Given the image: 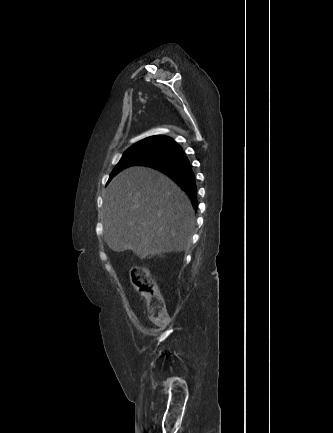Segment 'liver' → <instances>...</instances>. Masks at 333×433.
Here are the masks:
<instances>
[{
  "label": "liver",
  "instance_id": "6515ba94",
  "mask_svg": "<svg viewBox=\"0 0 333 433\" xmlns=\"http://www.w3.org/2000/svg\"><path fill=\"white\" fill-rule=\"evenodd\" d=\"M101 220L111 250H132L145 259L183 251L193 229L194 210L188 196L166 175L135 166L108 185Z\"/></svg>",
  "mask_w": 333,
  "mask_h": 433
}]
</instances>
